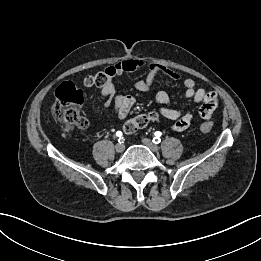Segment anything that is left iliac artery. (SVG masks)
Returning <instances> with one entry per match:
<instances>
[{"label":"left iliac artery","mask_w":261,"mask_h":261,"mask_svg":"<svg viewBox=\"0 0 261 261\" xmlns=\"http://www.w3.org/2000/svg\"><path fill=\"white\" fill-rule=\"evenodd\" d=\"M160 136H161V132H159V131L155 132V137L152 140L153 143H155V144L160 143L161 142Z\"/></svg>","instance_id":"left-iliac-artery-1"}]
</instances>
